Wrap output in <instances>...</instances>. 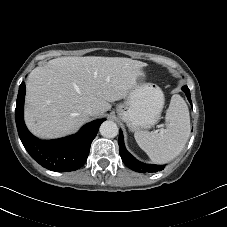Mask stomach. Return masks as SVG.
I'll return each instance as SVG.
<instances>
[{
    "mask_svg": "<svg viewBox=\"0 0 227 227\" xmlns=\"http://www.w3.org/2000/svg\"><path fill=\"white\" fill-rule=\"evenodd\" d=\"M141 71L134 86L117 108L118 117L131 131L148 129L160 118L164 106V94L157 85L145 82Z\"/></svg>",
    "mask_w": 227,
    "mask_h": 227,
    "instance_id": "obj_1",
    "label": "stomach"
}]
</instances>
